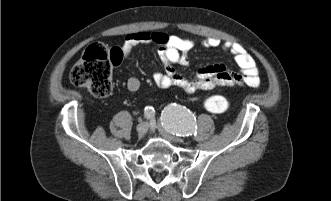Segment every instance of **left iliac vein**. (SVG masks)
<instances>
[{"label": "left iliac vein", "mask_w": 331, "mask_h": 201, "mask_svg": "<svg viewBox=\"0 0 331 201\" xmlns=\"http://www.w3.org/2000/svg\"><path fill=\"white\" fill-rule=\"evenodd\" d=\"M161 135L165 138V139H167V140H169V141H173V142H179V141H182V138L181 137H177V136H174V135H172L171 133H169L168 131H166V130H161Z\"/></svg>", "instance_id": "left-iliac-vein-1"}]
</instances>
